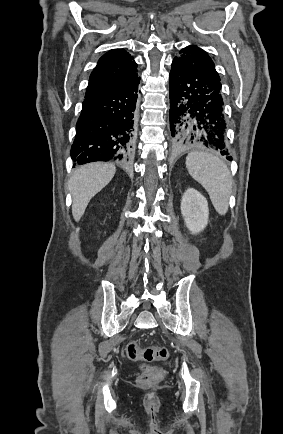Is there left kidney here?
Listing matches in <instances>:
<instances>
[{"instance_id":"obj_1","label":"left kidney","mask_w":283,"mask_h":434,"mask_svg":"<svg viewBox=\"0 0 283 434\" xmlns=\"http://www.w3.org/2000/svg\"><path fill=\"white\" fill-rule=\"evenodd\" d=\"M181 213L192 234L203 231L208 224L209 208L206 198L194 188H188L181 200Z\"/></svg>"}]
</instances>
